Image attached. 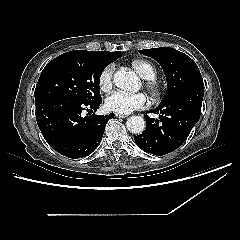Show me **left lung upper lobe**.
I'll list each match as a JSON object with an SVG mask.
<instances>
[{
	"mask_svg": "<svg viewBox=\"0 0 240 240\" xmlns=\"http://www.w3.org/2000/svg\"><path fill=\"white\" fill-rule=\"evenodd\" d=\"M139 53L155 59L163 68L168 89L161 103L190 88L204 87L196 63L186 54L174 48L144 49L139 50Z\"/></svg>",
	"mask_w": 240,
	"mask_h": 240,
	"instance_id": "obj_1",
	"label": "left lung upper lobe"
}]
</instances>
